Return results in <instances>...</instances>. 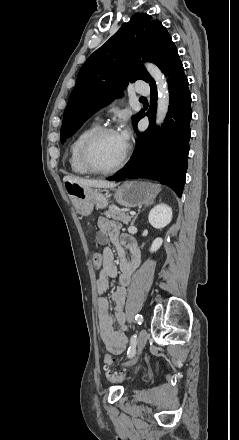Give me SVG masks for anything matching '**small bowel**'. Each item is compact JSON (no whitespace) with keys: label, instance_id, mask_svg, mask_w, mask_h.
Returning a JSON list of instances; mask_svg holds the SVG:
<instances>
[{"label":"small bowel","instance_id":"1","mask_svg":"<svg viewBox=\"0 0 239 440\" xmlns=\"http://www.w3.org/2000/svg\"><path fill=\"white\" fill-rule=\"evenodd\" d=\"M97 241L106 245L112 243L119 255V269L114 262L113 250L105 247L103 251L102 269L96 280L97 291L100 297L97 300L99 333L106 349L114 355L121 354L127 346V325L125 322L124 305L126 299V287L130 284L131 275L140 264V250L136 241L128 236L120 234V224L106 217L97 220ZM128 250L129 253L125 251ZM118 281L116 289L111 294L114 305V316L109 313V302L103 294L109 287V279ZM118 329H115L114 323Z\"/></svg>","mask_w":239,"mask_h":440}]
</instances>
